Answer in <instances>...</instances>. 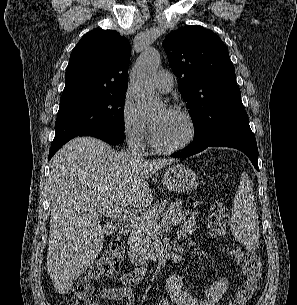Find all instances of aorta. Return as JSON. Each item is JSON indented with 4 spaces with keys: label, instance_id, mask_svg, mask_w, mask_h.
Here are the masks:
<instances>
[{
    "label": "aorta",
    "instance_id": "obj_1",
    "mask_svg": "<svg viewBox=\"0 0 297 305\" xmlns=\"http://www.w3.org/2000/svg\"><path fill=\"white\" fill-rule=\"evenodd\" d=\"M160 63V54L153 48H146L137 59L131 72V89L138 110L145 114H154L161 106L154 91L153 76Z\"/></svg>",
    "mask_w": 297,
    "mask_h": 305
}]
</instances>
